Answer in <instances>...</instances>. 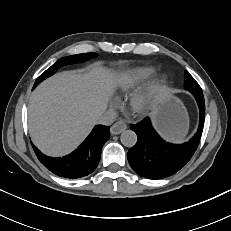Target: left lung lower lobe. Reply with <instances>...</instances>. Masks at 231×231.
Returning <instances> with one entry per match:
<instances>
[{
	"label": "left lung lower lobe",
	"instance_id": "1",
	"mask_svg": "<svg viewBox=\"0 0 231 231\" xmlns=\"http://www.w3.org/2000/svg\"><path fill=\"white\" fill-rule=\"evenodd\" d=\"M196 100L200 109L199 128L184 144L165 142L153 129L149 118L131 125L138 140L128 152V161L137 174L148 179H162L175 174L191 159L198 147L205 119L204 98L197 97Z\"/></svg>",
	"mask_w": 231,
	"mask_h": 231
}]
</instances>
